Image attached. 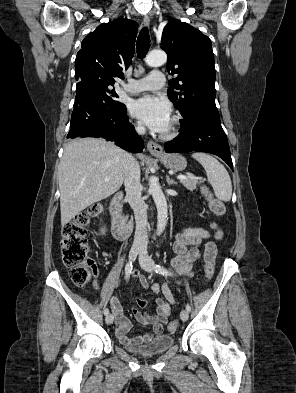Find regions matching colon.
I'll return each mask as SVG.
<instances>
[{"instance_id": "1", "label": "colon", "mask_w": 296, "mask_h": 393, "mask_svg": "<svg viewBox=\"0 0 296 393\" xmlns=\"http://www.w3.org/2000/svg\"><path fill=\"white\" fill-rule=\"evenodd\" d=\"M209 209L216 216H223L226 213L225 204L216 199L206 186L201 187ZM101 211L98 204L91 205L85 211L79 213L67 222L62 229L61 254L63 262L70 268V276L75 285L79 287L86 286L95 272V267L88 259L87 247V228L91 220L96 218ZM221 238V232L216 233V239ZM204 274L207 280H210L214 274V263L206 261L204 265ZM169 330L174 331L177 328V322H171Z\"/></svg>"}]
</instances>
